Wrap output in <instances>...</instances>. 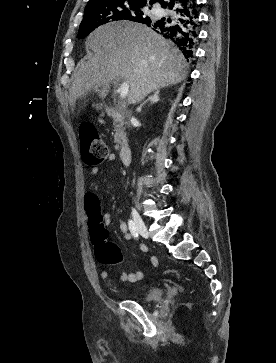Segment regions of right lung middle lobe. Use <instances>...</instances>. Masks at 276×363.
<instances>
[{
    "label": "right lung middle lobe",
    "mask_w": 276,
    "mask_h": 363,
    "mask_svg": "<svg viewBox=\"0 0 276 363\" xmlns=\"http://www.w3.org/2000/svg\"><path fill=\"white\" fill-rule=\"evenodd\" d=\"M145 5V3L134 1L109 0L86 6L78 37H85L98 26L112 21L142 22L148 18L142 11Z\"/></svg>",
    "instance_id": "obj_1"
}]
</instances>
